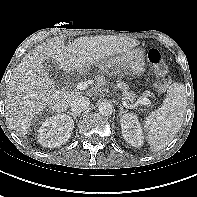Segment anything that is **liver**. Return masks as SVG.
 I'll list each match as a JSON object with an SVG mask.
<instances>
[{
	"mask_svg": "<svg viewBox=\"0 0 197 197\" xmlns=\"http://www.w3.org/2000/svg\"><path fill=\"white\" fill-rule=\"evenodd\" d=\"M139 45L132 38L85 36L68 46L60 37L48 40L27 54L14 69L6 89L5 116L16 134L24 137L36 114L46 107L53 113H62L70 106L77 92L57 90L44 62L53 60L60 70L85 72L104 59L122 54Z\"/></svg>",
	"mask_w": 197,
	"mask_h": 197,
	"instance_id": "liver-1",
	"label": "liver"
}]
</instances>
